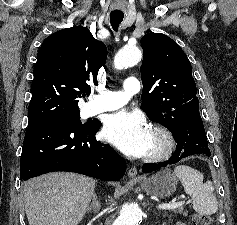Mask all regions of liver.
Returning <instances> with one entry per match:
<instances>
[{"mask_svg": "<svg viewBox=\"0 0 237 225\" xmlns=\"http://www.w3.org/2000/svg\"><path fill=\"white\" fill-rule=\"evenodd\" d=\"M95 189V180L74 173L53 172L24 184L29 225H78Z\"/></svg>", "mask_w": 237, "mask_h": 225, "instance_id": "obj_1", "label": "liver"}]
</instances>
